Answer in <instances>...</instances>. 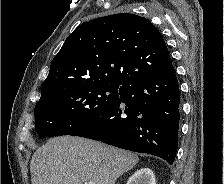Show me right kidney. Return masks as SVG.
Listing matches in <instances>:
<instances>
[{
  "label": "right kidney",
  "instance_id": "ca27d5eb",
  "mask_svg": "<svg viewBox=\"0 0 224 184\" xmlns=\"http://www.w3.org/2000/svg\"><path fill=\"white\" fill-rule=\"evenodd\" d=\"M127 184H156L155 175L149 168H141L132 175Z\"/></svg>",
  "mask_w": 224,
  "mask_h": 184
}]
</instances>
